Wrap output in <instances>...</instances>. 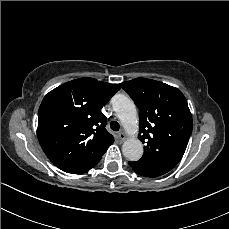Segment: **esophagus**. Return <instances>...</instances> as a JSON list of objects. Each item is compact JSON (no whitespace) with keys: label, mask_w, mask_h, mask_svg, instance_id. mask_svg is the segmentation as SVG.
I'll return each instance as SVG.
<instances>
[{"label":"esophagus","mask_w":229,"mask_h":229,"mask_svg":"<svg viewBox=\"0 0 229 229\" xmlns=\"http://www.w3.org/2000/svg\"><path fill=\"white\" fill-rule=\"evenodd\" d=\"M118 137H119V140H120L121 142H123V141L126 139V135H125V133H124L123 131H120V132L118 133Z\"/></svg>","instance_id":"1"}]
</instances>
